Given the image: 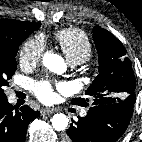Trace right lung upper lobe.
<instances>
[{
    "mask_svg": "<svg viewBox=\"0 0 142 142\" xmlns=\"http://www.w3.org/2000/svg\"><path fill=\"white\" fill-rule=\"evenodd\" d=\"M39 23L23 22L18 20H0V42L12 39L21 33L34 31L40 27ZM31 32V33H32Z\"/></svg>",
    "mask_w": 142,
    "mask_h": 142,
    "instance_id": "obj_1",
    "label": "right lung upper lobe"
}]
</instances>
